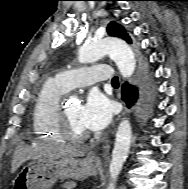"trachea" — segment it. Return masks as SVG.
I'll use <instances>...</instances> for the list:
<instances>
[{
    "instance_id": "1",
    "label": "trachea",
    "mask_w": 188,
    "mask_h": 189,
    "mask_svg": "<svg viewBox=\"0 0 188 189\" xmlns=\"http://www.w3.org/2000/svg\"><path fill=\"white\" fill-rule=\"evenodd\" d=\"M118 83H119L118 78H117V77H114V78L112 79V84H118Z\"/></svg>"
}]
</instances>
